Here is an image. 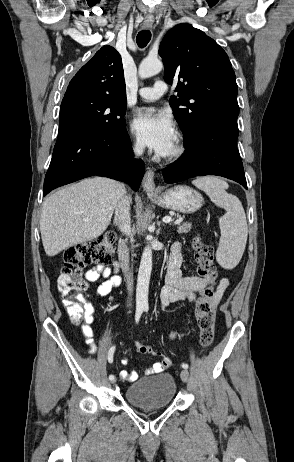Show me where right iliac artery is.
I'll return each instance as SVG.
<instances>
[{
    "label": "right iliac artery",
    "mask_w": 294,
    "mask_h": 462,
    "mask_svg": "<svg viewBox=\"0 0 294 462\" xmlns=\"http://www.w3.org/2000/svg\"><path fill=\"white\" fill-rule=\"evenodd\" d=\"M142 312H143V309H141V308H138V309L136 310V314H135L136 323H138V321H139V319H140V317H141ZM114 351H115V347L113 346V347L110 348V350H109V352H108V361H109L110 363L113 362V354H114ZM114 378H115L114 375H110V376H109V379H110V380H113Z\"/></svg>",
    "instance_id": "right-iliac-artery-1"
}]
</instances>
